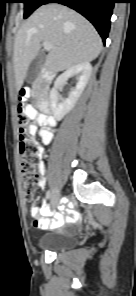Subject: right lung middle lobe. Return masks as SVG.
Listing matches in <instances>:
<instances>
[{"instance_id":"right-lung-middle-lobe-1","label":"right lung middle lobe","mask_w":136,"mask_h":296,"mask_svg":"<svg viewBox=\"0 0 136 296\" xmlns=\"http://www.w3.org/2000/svg\"><path fill=\"white\" fill-rule=\"evenodd\" d=\"M44 1L45 0H18L17 2L25 4L24 18H27L34 10L43 5Z\"/></svg>"}]
</instances>
